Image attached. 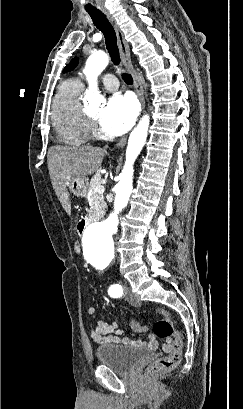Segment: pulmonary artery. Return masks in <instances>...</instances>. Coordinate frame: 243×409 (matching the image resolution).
I'll use <instances>...</instances> for the list:
<instances>
[{
  "instance_id": "1",
  "label": "pulmonary artery",
  "mask_w": 243,
  "mask_h": 409,
  "mask_svg": "<svg viewBox=\"0 0 243 409\" xmlns=\"http://www.w3.org/2000/svg\"><path fill=\"white\" fill-rule=\"evenodd\" d=\"M102 83L108 91H114L118 88V81L112 74H106L102 77Z\"/></svg>"
}]
</instances>
